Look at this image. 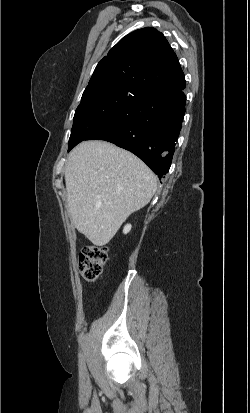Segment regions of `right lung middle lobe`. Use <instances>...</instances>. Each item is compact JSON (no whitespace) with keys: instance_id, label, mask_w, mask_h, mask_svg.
<instances>
[{"instance_id":"right-lung-middle-lobe-1","label":"right lung middle lobe","mask_w":250,"mask_h":413,"mask_svg":"<svg viewBox=\"0 0 250 413\" xmlns=\"http://www.w3.org/2000/svg\"><path fill=\"white\" fill-rule=\"evenodd\" d=\"M140 94L138 90L122 85L86 88L75 111L68 151L111 121L129 101Z\"/></svg>"}]
</instances>
